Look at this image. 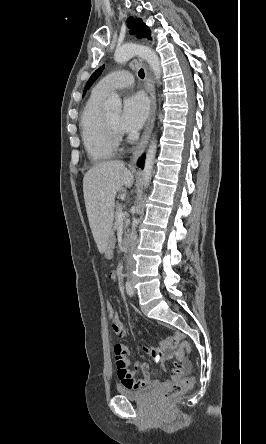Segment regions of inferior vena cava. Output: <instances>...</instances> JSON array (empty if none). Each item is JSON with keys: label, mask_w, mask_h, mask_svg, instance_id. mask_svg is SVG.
<instances>
[{"label": "inferior vena cava", "mask_w": 266, "mask_h": 444, "mask_svg": "<svg viewBox=\"0 0 266 444\" xmlns=\"http://www.w3.org/2000/svg\"><path fill=\"white\" fill-rule=\"evenodd\" d=\"M136 226H137V222L136 219L133 218V222H132V230L130 233V239H129V251H130V255L127 258V270L128 271H132L134 269L135 266V262L132 258L131 252L133 251V249L136 247L137 244V232H136Z\"/></svg>", "instance_id": "1"}]
</instances>
